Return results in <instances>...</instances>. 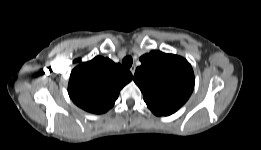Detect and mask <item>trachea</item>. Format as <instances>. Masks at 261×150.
I'll return each instance as SVG.
<instances>
[{
    "label": "trachea",
    "instance_id": "trachea-1",
    "mask_svg": "<svg viewBox=\"0 0 261 150\" xmlns=\"http://www.w3.org/2000/svg\"><path fill=\"white\" fill-rule=\"evenodd\" d=\"M133 63V59L131 56H126L123 60H122V64L126 67L129 68L132 66Z\"/></svg>",
    "mask_w": 261,
    "mask_h": 150
}]
</instances>
